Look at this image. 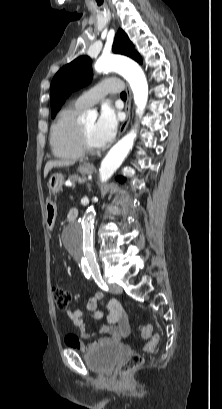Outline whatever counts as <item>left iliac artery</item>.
<instances>
[{
	"instance_id": "obj_1",
	"label": "left iliac artery",
	"mask_w": 222,
	"mask_h": 409,
	"mask_svg": "<svg viewBox=\"0 0 222 409\" xmlns=\"http://www.w3.org/2000/svg\"><path fill=\"white\" fill-rule=\"evenodd\" d=\"M91 273H92V276H93L95 282L97 283V285H98L102 290L108 291V286H107V284L104 282V280L102 279V276H101L99 267L97 266V267L93 268V270H92Z\"/></svg>"
}]
</instances>
